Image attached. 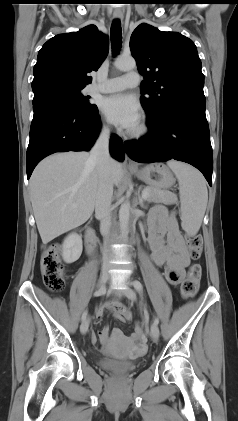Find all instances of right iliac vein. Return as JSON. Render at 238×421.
<instances>
[{
	"label": "right iliac vein",
	"mask_w": 238,
	"mask_h": 421,
	"mask_svg": "<svg viewBox=\"0 0 238 421\" xmlns=\"http://www.w3.org/2000/svg\"><path fill=\"white\" fill-rule=\"evenodd\" d=\"M108 280V269L107 268H103L101 275H100V279H99V287L102 288L104 287V285L106 284ZM89 328V319H85L82 321L81 326H80V331L82 334H86Z\"/></svg>",
	"instance_id": "right-iliac-vein-1"
}]
</instances>
